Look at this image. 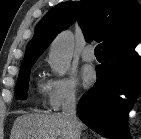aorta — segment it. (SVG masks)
Listing matches in <instances>:
<instances>
[{
    "instance_id": "aorta-1",
    "label": "aorta",
    "mask_w": 141,
    "mask_h": 139,
    "mask_svg": "<svg viewBox=\"0 0 141 139\" xmlns=\"http://www.w3.org/2000/svg\"><path fill=\"white\" fill-rule=\"evenodd\" d=\"M73 47V36L69 31L59 34L51 44L49 62L60 76L65 75L70 67Z\"/></svg>"
}]
</instances>
